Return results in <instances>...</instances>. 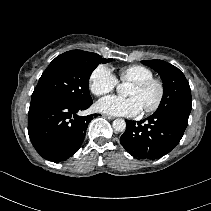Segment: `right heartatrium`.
Listing matches in <instances>:
<instances>
[{"label":"right heart atrium","instance_id":"1","mask_svg":"<svg viewBox=\"0 0 211 211\" xmlns=\"http://www.w3.org/2000/svg\"><path fill=\"white\" fill-rule=\"evenodd\" d=\"M117 83L116 77L106 65L96 66L88 79L89 89L96 96L112 92L116 88Z\"/></svg>","mask_w":211,"mask_h":211}]
</instances>
